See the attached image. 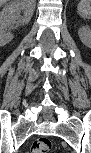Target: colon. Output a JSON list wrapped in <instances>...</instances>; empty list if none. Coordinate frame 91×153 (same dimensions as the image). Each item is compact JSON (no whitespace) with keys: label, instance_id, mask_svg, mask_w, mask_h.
Masks as SVG:
<instances>
[{"label":"colon","instance_id":"5ec220e1","mask_svg":"<svg viewBox=\"0 0 91 153\" xmlns=\"http://www.w3.org/2000/svg\"><path fill=\"white\" fill-rule=\"evenodd\" d=\"M52 142L47 137L36 139L31 146V153H48L51 150Z\"/></svg>","mask_w":91,"mask_h":153}]
</instances>
